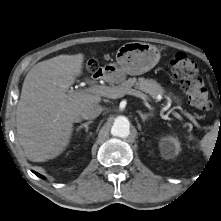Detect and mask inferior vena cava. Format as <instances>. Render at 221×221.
I'll return each mask as SVG.
<instances>
[{"label": "inferior vena cava", "instance_id": "602c4592", "mask_svg": "<svg viewBox=\"0 0 221 221\" xmlns=\"http://www.w3.org/2000/svg\"><path fill=\"white\" fill-rule=\"evenodd\" d=\"M101 112H102V107L99 104H96V103L89 104L82 109L77 120H80V118L81 119H94L97 116H99Z\"/></svg>", "mask_w": 221, "mask_h": 221}]
</instances>
